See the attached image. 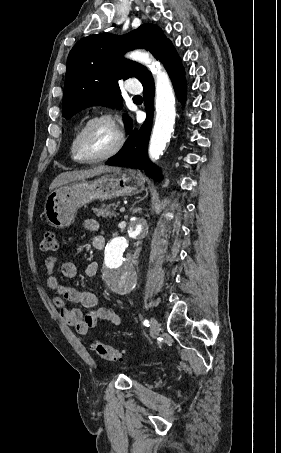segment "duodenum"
<instances>
[{"instance_id": "1", "label": "duodenum", "mask_w": 281, "mask_h": 453, "mask_svg": "<svg viewBox=\"0 0 281 453\" xmlns=\"http://www.w3.org/2000/svg\"><path fill=\"white\" fill-rule=\"evenodd\" d=\"M105 246V240L101 239L97 245V249L102 250Z\"/></svg>"}]
</instances>
